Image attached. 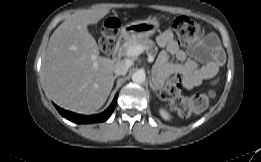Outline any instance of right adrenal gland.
<instances>
[{
    "label": "right adrenal gland",
    "instance_id": "2a0ac1e0",
    "mask_svg": "<svg viewBox=\"0 0 261 162\" xmlns=\"http://www.w3.org/2000/svg\"><path fill=\"white\" fill-rule=\"evenodd\" d=\"M117 77H118V75H115V76L113 77V81H114Z\"/></svg>",
    "mask_w": 261,
    "mask_h": 162
}]
</instances>
